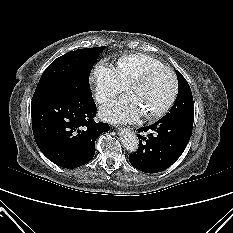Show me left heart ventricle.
<instances>
[{"mask_svg":"<svg viewBox=\"0 0 233 233\" xmlns=\"http://www.w3.org/2000/svg\"><path fill=\"white\" fill-rule=\"evenodd\" d=\"M172 77L169 72L159 70L152 73L143 83L130 90L141 109L149 114L160 109L168 100L172 90Z\"/></svg>","mask_w":233,"mask_h":233,"instance_id":"left-heart-ventricle-1","label":"left heart ventricle"}]
</instances>
